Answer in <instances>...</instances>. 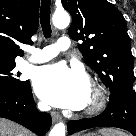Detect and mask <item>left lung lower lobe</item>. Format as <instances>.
<instances>
[{
	"label": "left lung lower lobe",
	"instance_id": "left-lung-lower-lobe-1",
	"mask_svg": "<svg viewBox=\"0 0 136 136\" xmlns=\"http://www.w3.org/2000/svg\"><path fill=\"white\" fill-rule=\"evenodd\" d=\"M68 133L93 127H117L136 136V94L133 89L111 92L106 110L99 116L68 122Z\"/></svg>",
	"mask_w": 136,
	"mask_h": 136
}]
</instances>
